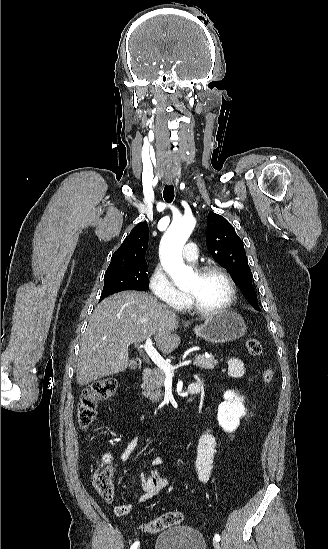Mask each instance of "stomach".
I'll return each instance as SVG.
<instances>
[{"instance_id":"obj_1","label":"stomach","mask_w":328,"mask_h":549,"mask_svg":"<svg viewBox=\"0 0 328 549\" xmlns=\"http://www.w3.org/2000/svg\"><path fill=\"white\" fill-rule=\"evenodd\" d=\"M246 331L245 321H243L241 315H238L232 309H224L217 315L206 317L203 325L194 327L195 335L209 341V343L236 341V339L244 337Z\"/></svg>"}]
</instances>
